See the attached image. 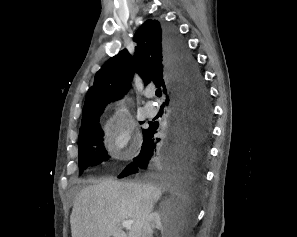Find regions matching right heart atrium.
Segmentation results:
<instances>
[{"label": "right heart atrium", "mask_w": 297, "mask_h": 237, "mask_svg": "<svg viewBox=\"0 0 297 237\" xmlns=\"http://www.w3.org/2000/svg\"><path fill=\"white\" fill-rule=\"evenodd\" d=\"M108 138V151L114 155H123L131 143L132 129L129 120L125 116L115 115L105 127Z\"/></svg>", "instance_id": "obj_1"}]
</instances>
